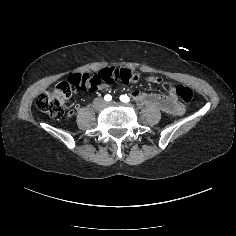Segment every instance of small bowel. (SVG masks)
I'll return each mask as SVG.
<instances>
[{
    "instance_id": "obj_1",
    "label": "small bowel",
    "mask_w": 236,
    "mask_h": 236,
    "mask_svg": "<svg viewBox=\"0 0 236 236\" xmlns=\"http://www.w3.org/2000/svg\"><path fill=\"white\" fill-rule=\"evenodd\" d=\"M150 80H151L152 82H155V83L159 82V80H158L157 78H155V77H152ZM75 108H76V107H75Z\"/></svg>"
}]
</instances>
